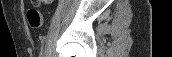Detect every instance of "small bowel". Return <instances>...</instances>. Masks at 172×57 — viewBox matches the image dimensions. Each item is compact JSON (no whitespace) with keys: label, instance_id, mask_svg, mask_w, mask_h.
Wrapping results in <instances>:
<instances>
[{"label":"small bowel","instance_id":"1","mask_svg":"<svg viewBox=\"0 0 172 57\" xmlns=\"http://www.w3.org/2000/svg\"><path fill=\"white\" fill-rule=\"evenodd\" d=\"M52 1L51 0H44L45 4H50Z\"/></svg>","mask_w":172,"mask_h":57}]
</instances>
